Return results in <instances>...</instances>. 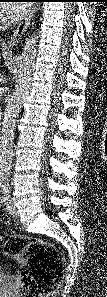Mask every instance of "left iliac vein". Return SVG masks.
Wrapping results in <instances>:
<instances>
[{"instance_id":"1","label":"left iliac vein","mask_w":107,"mask_h":297,"mask_svg":"<svg viewBox=\"0 0 107 297\" xmlns=\"http://www.w3.org/2000/svg\"><path fill=\"white\" fill-rule=\"evenodd\" d=\"M7 211H8V214L11 215V216H17L18 214V210L14 204L13 201H10L8 204H7Z\"/></svg>"}]
</instances>
